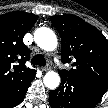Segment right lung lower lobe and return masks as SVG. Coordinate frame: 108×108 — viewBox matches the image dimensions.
<instances>
[{"mask_svg":"<svg viewBox=\"0 0 108 108\" xmlns=\"http://www.w3.org/2000/svg\"><path fill=\"white\" fill-rule=\"evenodd\" d=\"M34 77H32L24 85L20 86L19 88L13 91L1 93L0 94V108H13L17 106L23 100L29 88V85L31 81L34 79Z\"/></svg>","mask_w":108,"mask_h":108,"instance_id":"1","label":"right lung lower lobe"}]
</instances>
